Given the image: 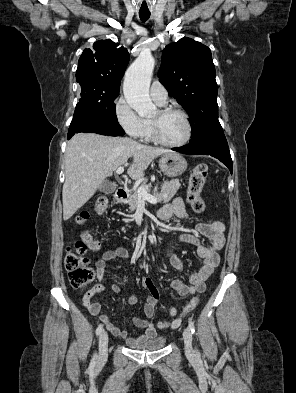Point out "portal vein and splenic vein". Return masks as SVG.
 Segmentation results:
<instances>
[{
    "label": "portal vein and splenic vein",
    "instance_id": "18ae733b",
    "mask_svg": "<svg viewBox=\"0 0 296 393\" xmlns=\"http://www.w3.org/2000/svg\"><path fill=\"white\" fill-rule=\"evenodd\" d=\"M123 172L124 167L122 166L118 167V169L116 170V173L118 175L122 174ZM137 191L139 198L147 200L149 202H156L157 199L154 196L150 195L144 187L140 186Z\"/></svg>",
    "mask_w": 296,
    "mask_h": 393
}]
</instances>
